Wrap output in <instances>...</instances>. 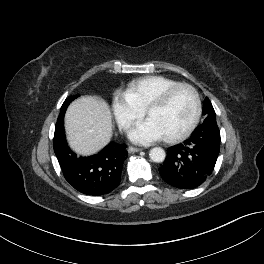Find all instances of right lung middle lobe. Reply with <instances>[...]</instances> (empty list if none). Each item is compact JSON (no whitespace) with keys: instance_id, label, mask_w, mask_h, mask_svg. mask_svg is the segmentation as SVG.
Wrapping results in <instances>:
<instances>
[{"instance_id":"obj_1","label":"right lung middle lobe","mask_w":264,"mask_h":264,"mask_svg":"<svg viewBox=\"0 0 264 264\" xmlns=\"http://www.w3.org/2000/svg\"><path fill=\"white\" fill-rule=\"evenodd\" d=\"M76 98H77V96H72V97L67 98V99L64 101V103H63V105H62V107H61V111H60V114H59L58 122H57V123H60V122L62 121L63 116H64V114H65V111H66L68 105H69L74 99H76Z\"/></svg>"}]
</instances>
